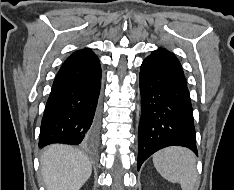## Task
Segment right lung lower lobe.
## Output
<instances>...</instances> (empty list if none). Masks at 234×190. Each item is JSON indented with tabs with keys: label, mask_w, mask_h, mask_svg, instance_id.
<instances>
[{
	"label": "right lung lower lobe",
	"mask_w": 234,
	"mask_h": 190,
	"mask_svg": "<svg viewBox=\"0 0 234 190\" xmlns=\"http://www.w3.org/2000/svg\"><path fill=\"white\" fill-rule=\"evenodd\" d=\"M101 67L90 49L71 54L57 73L41 122L39 147L93 144L99 131Z\"/></svg>",
	"instance_id": "right-lung-lower-lobe-1"
}]
</instances>
